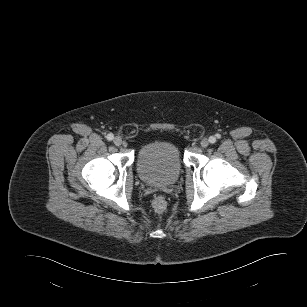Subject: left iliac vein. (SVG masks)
I'll use <instances>...</instances> for the list:
<instances>
[{"instance_id":"obj_1","label":"left iliac vein","mask_w":307,"mask_h":307,"mask_svg":"<svg viewBox=\"0 0 307 307\" xmlns=\"http://www.w3.org/2000/svg\"><path fill=\"white\" fill-rule=\"evenodd\" d=\"M200 144H201V147L206 148L209 145V140L204 138Z\"/></svg>"}]
</instances>
